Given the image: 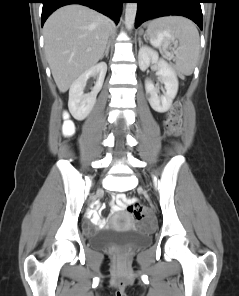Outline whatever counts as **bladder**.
I'll list each match as a JSON object with an SVG mask.
<instances>
[{
    "instance_id": "31cf9c89",
    "label": "bladder",
    "mask_w": 239,
    "mask_h": 296,
    "mask_svg": "<svg viewBox=\"0 0 239 296\" xmlns=\"http://www.w3.org/2000/svg\"><path fill=\"white\" fill-rule=\"evenodd\" d=\"M92 246L96 248H111L116 246L141 247L150 242V235L135 228L117 230L102 229L89 235Z\"/></svg>"
}]
</instances>
